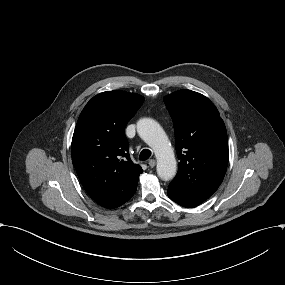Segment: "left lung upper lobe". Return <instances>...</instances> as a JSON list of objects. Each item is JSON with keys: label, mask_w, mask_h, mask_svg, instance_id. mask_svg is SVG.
<instances>
[{"label": "left lung upper lobe", "mask_w": 285, "mask_h": 285, "mask_svg": "<svg viewBox=\"0 0 285 285\" xmlns=\"http://www.w3.org/2000/svg\"><path fill=\"white\" fill-rule=\"evenodd\" d=\"M173 119L179 170L170 183L182 193L204 201L220 186L228 165L225 124L204 95L179 90L164 97Z\"/></svg>", "instance_id": "5c2ea615"}]
</instances>
